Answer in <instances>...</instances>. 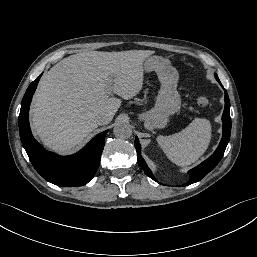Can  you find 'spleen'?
Instances as JSON below:
<instances>
[{"label": "spleen", "instance_id": "obj_1", "mask_svg": "<svg viewBox=\"0 0 257 257\" xmlns=\"http://www.w3.org/2000/svg\"><path fill=\"white\" fill-rule=\"evenodd\" d=\"M212 137L209 120L195 118L185 129L169 136H160L158 143L166 156L178 166L195 163L207 150Z\"/></svg>", "mask_w": 257, "mask_h": 257}]
</instances>
